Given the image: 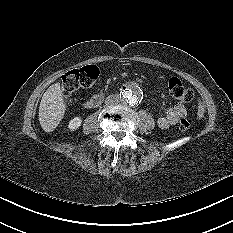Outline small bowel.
Segmentation results:
<instances>
[{
    "label": "small bowel",
    "mask_w": 233,
    "mask_h": 233,
    "mask_svg": "<svg viewBox=\"0 0 233 233\" xmlns=\"http://www.w3.org/2000/svg\"><path fill=\"white\" fill-rule=\"evenodd\" d=\"M187 116V109L183 102H178L172 107H168L157 118V125L161 129H168L176 125L182 118Z\"/></svg>",
    "instance_id": "c3829d8e"
}]
</instances>
